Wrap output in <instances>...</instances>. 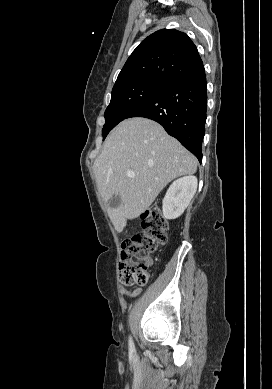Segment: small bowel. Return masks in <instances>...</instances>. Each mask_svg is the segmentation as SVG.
<instances>
[{
  "label": "small bowel",
  "instance_id": "c3829d8e",
  "mask_svg": "<svg viewBox=\"0 0 272 389\" xmlns=\"http://www.w3.org/2000/svg\"><path fill=\"white\" fill-rule=\"evenodd\" d=\"M151 264V259L148 258V265ZM140 293V289H136L132 292H127L125 290H123V294L127 295V296H137L138 294Z\"/></svg>",
  "mask_w": 272,
  "mask_h": 389
}]
</instances>
